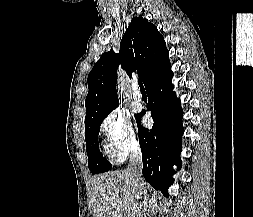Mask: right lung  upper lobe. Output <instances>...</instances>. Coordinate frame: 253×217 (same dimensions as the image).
<instances>
[{
  "mask_svg": "<svg viewBox=\"0 0 253 217\" xmlns=\"http://www.w3.org/2000/svg\"><path fill=\"white\" fill-rule=\"evenodd\" d=\"M119 64L129 77L132 72L144 85L150 78L169 66V52L157 27L142 17H134L120 42L119 53L102 54L88 75L85 122L118 106L116 92Z\"/></svg>",
  "mask_w": 253,
  "mask_h": 217,
  "instance_id": "1",
  "label": "right lung upper lobe"
}]
</instances>
